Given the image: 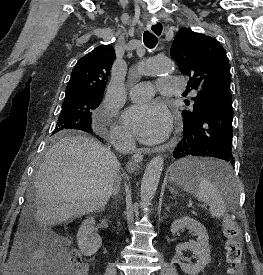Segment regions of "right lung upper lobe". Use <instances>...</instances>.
I'll use <instances>...</instances> for the list:
<instances>
[{"instance_id":"1","label":"right lung upper lobe","mask_w":263,"mask_h":275,"mask_svg":"<svg viewBox=\"0 0 263 275\" xmlns=\"http://www.w3.org/2000/svg\"><path fill=\"white\" fill-rule=\"evenodd\" d=\"M115 59L111 45L96 47L75 65L65 90V98L79 95L101 96Z\"/></svg>"}]
</instances>
